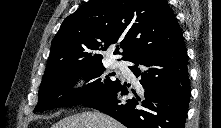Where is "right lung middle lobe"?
Returning a JSON list of instances; mask_svg holds the SVG:
<instances>
[{
    "label": "right lung middle lobe",
    "mask_w": 221,
    "mask_h": 128,
    "mask_svg": "<svg viewBox=\"0 0 221 128\" xmlns=\"http://www.w3.org/2000/svg\"><path fill=\"white\" fill-rule=\"evenodd\" d=\"M104 70L102 61L94 60L73 61L46 69L34 111L81 105L110 92L120 81L113 80L111 76L114 74L100 77ZM79 77L91 82L86 87L73 90L72 86Z\"/></svg>",
    "instance_id": "dd1d6c3e"
}]
</instances>
